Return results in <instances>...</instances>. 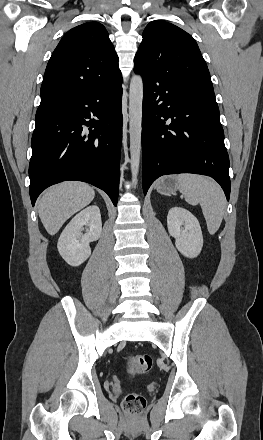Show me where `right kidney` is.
I'll return each instance as SVG.
<instances>
[{
    "instance_id": "obj_1",
    "label": "right kidney",
    "mask_w": 263,
    "mask_h": 440,
    "mask_svg": "<svg viewBox=\"0 0 263 440\" xmlns=\"http://www.w3.org/2000/svg\"><path fill=\"white\" fill-rule=\"evenodd\" d=\"M84 225L89 231L81 233ZM102 222L100 209L91 205L78 213L61 233L57 248L62 258L71 266H79L91 255L90 242L100 238Z\"/></svg>"
}]
</instances>
